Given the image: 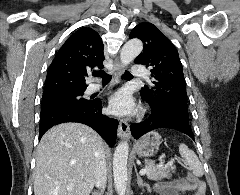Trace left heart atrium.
<instances>
[{
	"mask_svg": "<svg viewBox=\"0 0 240 195\" xmlns=\"http://www.w3.org/2000/svg\"><path fill=\"white\" fill-rule=\"evenodd\" d=\"M134 101L126 90H119L109 100V110L112 114L126 116L134 111Z\"/></svg>",
	"mask_w": 240,
	"mask_h": 195,
	"instance_id": "39dd6f15",
	"label": "left heart atrium"
}]
</instances>
